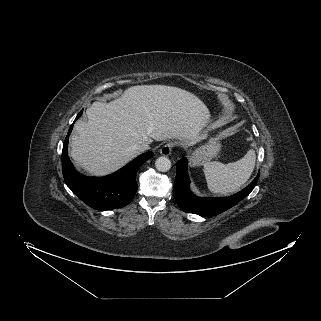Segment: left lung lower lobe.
I'll return each instance as SVG.
<instances>
[{
	"label": "left lung lower lobe",
	"instance_id": "obj_1",
	"mask_svg": "<svg viewBox=\"0 0 321 321\" xmlns=\"http://www.w3.org/2000/svg\"><path fill=\"white\" fill-rule=\"evenodd\" d=\"M176 178L174 182V196L179 207L187 213H194L200 216L218 215L227 209L235 206L254 189L259 173L255 179L242 191L226 198H198L189 188L190 179L188 176L187 159L182 158L176 163Z\"/></svg>",
	"mask_w": 321,
	"mask_h": 321
}]
</instances>
